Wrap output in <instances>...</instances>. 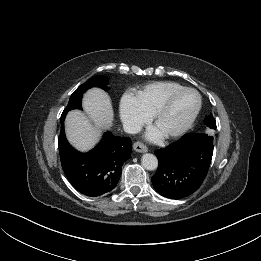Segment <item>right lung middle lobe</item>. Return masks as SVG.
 <instances>
[{
	"label": "right lung middle lobe",
	"mask_w": 261,
	"mask_h": 261,
	"mask_svg": "<svg viewBox=\"0 0 261 261\" xmlns=\"http://www.w3.org/2000/svg\"><path fill=\"white\" fill-rule=\"evenodd\" d=\"M108 78L105 76H94L87 82L79 86L74 93L71 95L67 107L64 109L61 115V121L65 119L66 114L72 109H82L81 100L84 92L92 87H100L105 91L108 90L107 87Z\"/></svg>",
	"instance_id": "obj_1"
}]
</instances>
